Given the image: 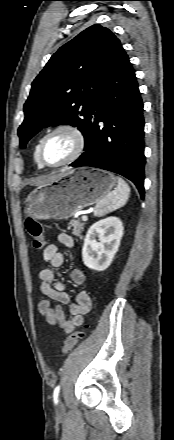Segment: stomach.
I'll list each match as a JSON object with an SVG mask.
<instances>
[{
  "label": "stomach",
  "instance_id": "stomach-1",
  "mask_svg": "<svg viewBox=\"0 0 174 440\" xmlns=\"http://www.w3.org/2000/svg\"><path fill=\"white\" fill-rule=\"evenodd\" d=\"M107 171L80 167L61 173L25 199L26 215L35 219H68L107 195L116 185Z\"/></svg>",
  "mask_w": 174,
  "mask_h": 440
}]
</instances>
